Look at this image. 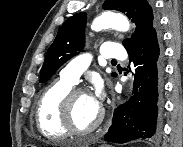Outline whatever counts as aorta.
Wrapping results in <instances>:
<instances>
[{"label":"aorta","instance_id":"obj_1","mask_svg":"<svg viewBox=\"0 0 183 147\" xmlns=\"http://www.w3.org/2000/svg\"><path fill=\"white\" fill-rule=\"evenodd\" d=\"M130 27L127 18L119 13L104 12L97 16L91 25V29L94 31H100L103 29L111 28L118 31H128Z\"/></svg>","mask_w":183,"mask_h":147}]
</instances>
